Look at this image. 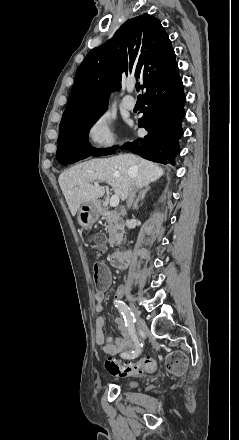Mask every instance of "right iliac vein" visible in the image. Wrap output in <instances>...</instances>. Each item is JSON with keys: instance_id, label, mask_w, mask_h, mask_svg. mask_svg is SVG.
Returning <instances> with one entry per match:
<instances>
[{"instance_id": "obj_1", "label": "right iliac vein", "mask_w": 239, "mask_h": 440, "mask_svg": "<svg viewBox=\"0 0 239 440\" xmlns=\"http://www.w3.org/2000/svg\"><path fill=\"white\" fill-rule=\"evenodd\" d=\"M136 326L138 330H144L146 325L143 319H141L138 315L136 316Z\"/></svg>"}]
</instances>
